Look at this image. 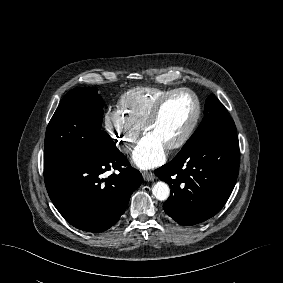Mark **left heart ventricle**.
<instances>
[{"label": "left heart ventricle", "instance_id": "1", "mask_svg": "<svg viewBox=\"0 0 283 283\" xmlns=\"http://www.w3.org/2000/svg\"><path fill=\"white\" fill-rule=\"evenodd\" d=\"M195 103L187 94L173 96L163 107L156 122L145 135L159 141L165 148L178 140L191 123Z\"/></svg>", "mask_w": 283, "mask_h": 283}]
</instances>
